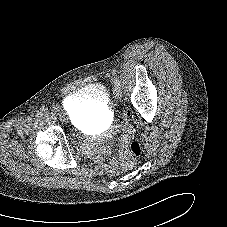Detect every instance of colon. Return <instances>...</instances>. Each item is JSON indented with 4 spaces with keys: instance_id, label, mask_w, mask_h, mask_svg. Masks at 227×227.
Instances as JSON below:
<instances>
[{
    "instance_id": "5ec220e1",
    "label": "colon",
    "mask_w": 227,
    "mask_h": 227,
    "mask_svg": "<svg viewBox=\"0 0 227 227\" xmlns=\"http://www.w3.org/2000/svg\"><path fill=\"white\" fill-rule=\"evenodd\" d=\"M141 153L142 149L140 143L135 139H131L128 143V155L122 162V169H132Z\"/></svg>"
}]
</instances>
